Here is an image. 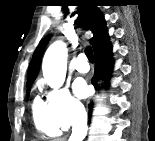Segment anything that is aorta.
I'll return each mask as SVG.
<instances>
[{
    "instance_id": "1",
    "label": "aorta",
    "mask_w": 155,
    "mask_h": 141,
    "mask_svg": "<svg viewBox=\"0 0 155 141\" xmlns=\"http://www.w3.org/2000/svg\"><path fill=\"white\" fill-rule=\"evenodd\" d=\"M67 47L62 41H56L47 49L42 63L44 79L51 88H59L66 77Z\"/></svg>"
}]
</instances>
